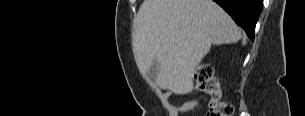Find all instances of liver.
<instances>
[{
  "label": "liver",
  "mask_w": 305,
  "mask_h": 116,
  "mask_svg": "<svg viewBox=\"0 0 305 116\" xmlns=\"http://www.w3.org/2000/svg\"><path fill=\"white\" fill-rule=\"evenodd\" d=\"M241 38L239 27L212 0H145L135 19L132 46L142 74L157 60V85L187 94L194 89L196 67L211 45Z\"/></svg>",
  "instance_id": "1"
}]
</instances>
